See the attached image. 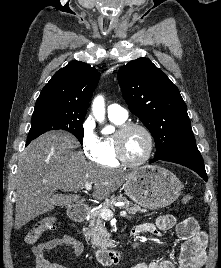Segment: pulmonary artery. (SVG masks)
Here are the masks:
<instances>
[{
    "label": "pulmonary artery",
    "instance_id": "pulmonary-artery-1",
    "mask_svg": "<svg viewBox=\"0 0 221 268\" xmlns=\"http://www.w3.org/2000/svg\"><path fill=\"white\" fill-rule=\"evenodd\" d=\"M107 113L109 118L116 119L119 121H125L128 117L127 110L116 103L108 106Z\"/></svg>",
    "mask_w": 221,
    "mask_h": 268
}]
</instances>
